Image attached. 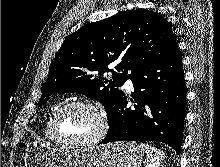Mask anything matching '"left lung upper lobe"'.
<instances>
[{
  "label": "left lung upper lobe",
  "mask_w": 220,
  "mask_h": 167,
  "mask_svg": "<svg viewBox=\"0 0 220 167\" xmlns=\"http://www.w3.org/2000/svg\"><path fill=\"white\" fill-rule=\"evenodd\" d=\"M176 48L168 22L150 10H126L85 25L67 36L55 55L38 106L51 94L76 92L102 102L109 117L124 95L119 87ZM112 63L116 71L108 68ZM105 72H112V79L103 78Z\"/></svg>",
  "instance_id": "1"
}]
</instances>
